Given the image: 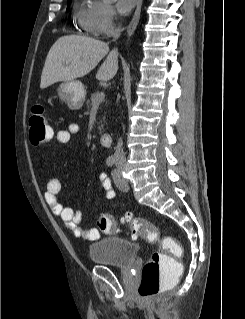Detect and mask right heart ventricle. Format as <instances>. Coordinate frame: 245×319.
<instances>
[{
	"label": "right heart ventricle",
	"instance_id": "obj_1",
	"mask_svg": "<svg viewBox=\"0 0 245 319\" xmlns=\"http://www.w3.org/2000/svg\"><path fill=\"white\" fill-rule=\"evenodd\" d=\"M75 18L78 23L86 29L91 19V5H79L75 10Z\"/></svg>",
	"mask_w": 245,
	"mask_h": 319
}]
</instances>
